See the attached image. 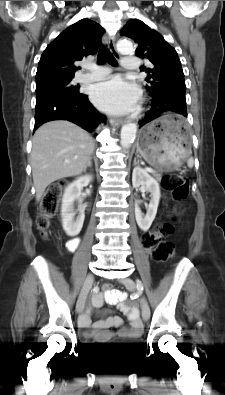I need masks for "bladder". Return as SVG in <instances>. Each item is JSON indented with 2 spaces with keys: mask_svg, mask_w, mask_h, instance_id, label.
<instances>
[{
  "mask_svg": "<svg viewBox=\"0 0 225 395\" xmlns=\"http://www.w3.org/2000/svg\"><path fill=\"white\" fill-rule=\"evenodd\" d=\"M92 346H94L95 344H90ZM122 350L124 351V353L126 354H132L137 352L138 350H140V348L142 347V341L140 338H136L127 342H124L122 345Z\"/></svg>",
  "mask_w": 225,
  "mask_h": 395,
  "instance_id": "31cf9c89",
  "label": "bladder"
}]
</instances>
